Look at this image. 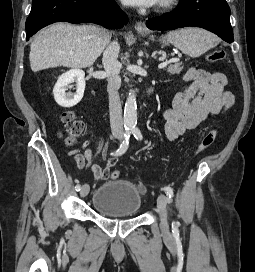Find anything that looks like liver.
<instances>
[{
    "label": "liver",
    "mask_w": 255,
    "mask_h": 272,
    "mask_svg": "<svg viewBox=\"0 0 255 272\" xmlns=\"http://www.w3.org/2000/svg\"><path fill=\"white\" fill-rule=\"evenodd\" d=\"M110 39L111 33L102 27L55 23L41 30L31 43V70L37 72L58 66L90 67Z\"/></svg>",
    "instance_id": "1"
}]
</instances>
